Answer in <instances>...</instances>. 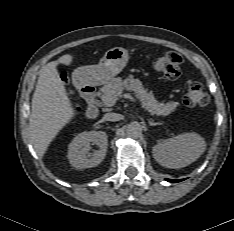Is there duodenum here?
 Returning <instances> with one entry per match:
<instances>
[{
  "mask_svg": "<svg viewBox=\"0 0 234 231\" xmlns=\"http://www.w3.org/2000/svg\"><path fill=\"white\" fill-rule=\"evenodd\" d=\"M77 88L81 93L82 97L87 101L88 108L86 111V115L89 119H94L98 116V108L96 105V88L81 80L78 79L76 81Z\"/></svg>",
  "mask_w": 234,
  "mask_h": 231,
  "instance_id": "obj_1",
  "label": "duodenum"
}]
</instances>
